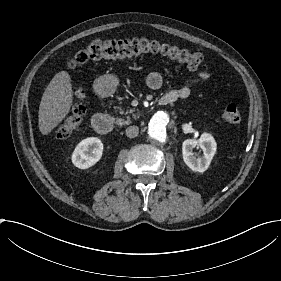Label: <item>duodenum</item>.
<instances>
[{
    "mask_svg": "<svg viewBox=\"0 0 281 281\" xmlns=\"http://www.w3.org/2000/svg\"><path fill=\"white\" fill-rule=\"evenodd\" d=\"M160 103L166 104V101L162 98ZM92 124L95 130L103 135L111 133L114 127L113 119L109 115L103 113L95 114L92 118Z\"/></svg>",
    "mask_w": 281,
    "mask_h": 281,
    "instance_id": "1",
    "label": "duodenum"
}]
</instances>
